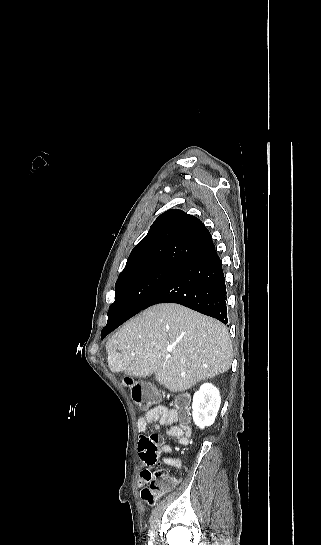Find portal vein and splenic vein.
<instances>
[{
  "mask_svg": "<svg viewBox=\"0 0 321 545\" xmlns=\"http://www.w3.org/2000/svg\"><path fill=\"white\" fill-rule=\"evenodd\" d=\"M168 353H171V349H168Z\"/></svg>",
  "mask_w": 321,
  "mask_h": 545,
  "instance_id": "portal-vein-and-splenic-vein-1",
  "label": "portal vein and splenic vein"
}]
</instances>
